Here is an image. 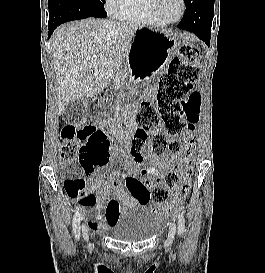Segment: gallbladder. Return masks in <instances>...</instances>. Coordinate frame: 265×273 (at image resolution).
<instances>
[{
	"mask_svg": "<svg viewBox=\"0 0 265 273\" xmlns=\"http://www.w3.org/2000/svg\"><path fill=\"white\" fill-rule=\"evenodd\" d=\"M84 110L83 101L77 100L70 102L64 112L63 119L68 123H74L80 120Z\"/></svg>",
	"mask_w": 265,
	"mask_h": 273,
	"instance_id": "1",
	"label": "gallbladder"
}]
</instances>
